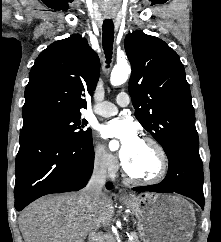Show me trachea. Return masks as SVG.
I'll return each mask as SVG.
<instances>
[{
	"label": "trachea",
	"instance_id": "obj_1",
	"mask_svg": "<svg viewBox=\"0 0 221 242\" xmlns=\"http://www.w3.org/2000/svg\"><path fill=\"white\" fill-rule=\"evenodd\" d=\"M102 44L106 57V63L110 64L112 58L113 42H114V24L111 19L103 22ZM109 67V65L107 66Z\"/></svg>",
	"mask_w": 221,
	"mask_h": 242
}]
</instances>
